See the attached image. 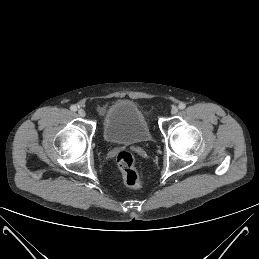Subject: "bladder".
<instances>
[{
	"label": "bladder",
	"mask_w": 259,
	"mask_h": 259,
	"mask_svg": "<svg viewBox=\"0 0 259 259\" xmlns=\"http://www.w3.org/2000/svg\"><path fill=\"white\" fill-rule=\"evenodd\" d=\"M102 131L109 144H144L152 139L141 109L125 99L117 100L109 106L103 118Z\"/></svg>",
	"instance_id": "31cf9c89"
}]
</instances>
